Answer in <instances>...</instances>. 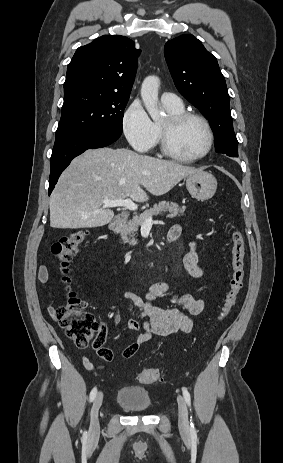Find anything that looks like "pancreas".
<instances>
[{"label":"pancreas","instance_id":"pancreas-1","mask_svg":"<svg viewBox=\"0 0 283 463\" xmlns=\"http://www.w3.org/2000/svg\"><path fill=\"white\" fill-rule=\"evenodd\" d=\"M185 207H180L177 203L161 201L154 204L152 208L145 210L140 216H134L131 220L123 223L120 228V235L125 243L136 245L137 240L134 238L138 227L141 226L148 217L156 216L168 212L169 218L180 217L185 212Z\"/></svg>","mask_w":283,"mask_h":463}]
</instances>
